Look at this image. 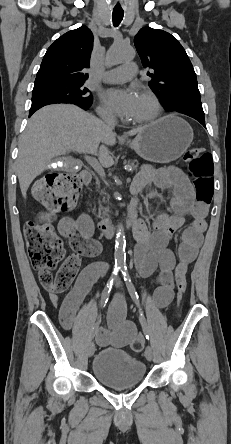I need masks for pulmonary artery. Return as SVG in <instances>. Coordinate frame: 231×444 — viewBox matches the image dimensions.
Instances as JSON below:
<instances>
[{
	"label": "pulmonary artery",
	"instance_id": "e3ab8cb5",
	"mask_svg": "<svg viewBox=\"0 0 231 444\" xmlns=\"http://www.w3.org/2000/svg\"><path fill=\"white\" fill-rule=\"evenodd\" d=\"M136 75V65L134 63H125L120 67L107 71L102 75L101 79L106 83H122L135 78Z\"/></svg>",
	"mask_w": 231,
	"mask_h": 444
}]
</instances>
